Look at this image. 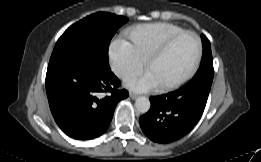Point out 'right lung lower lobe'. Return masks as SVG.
<instances>
[{
  "label": "right lung lower lobe",
  "mask_w": 261,
  "mask_h": 162,
  "mask_svg": "<svg viewBox=\"0 0 261 162\" xmlns=\"http://www.w3.org/2000/svg\"><path fill=\"white\" fill-rule=\"evenodd\" d=\"M118 78L109 63L90 54L49 62L46 92L52 115L68 136L89 140L102 135L112 120L116 104L128 96L117 89ZM110 92L104 98L99 93Z\"/></svg>",
  "instance_id": "right-lung-lower-lobe-1"
}]
</instances>
